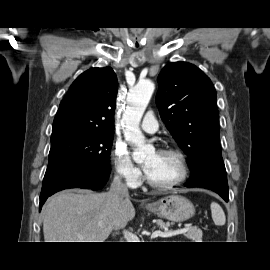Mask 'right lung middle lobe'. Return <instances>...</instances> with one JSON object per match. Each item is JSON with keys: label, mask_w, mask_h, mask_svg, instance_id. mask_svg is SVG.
Returning <instances> with one entry per match:
<instances>
[{"label": "right lung middle lobe", "mask_w": 270, "mask_h": 270, "mask_svg": "<svg viewBox=\"0 0 270 270\" xmlns=\"http://www.w3.org/2000/svg\"><path fill=\"white\" fill-rule=\"evenodd\" d=\"M114 131L59 128L52 130L49 163L51 172L72 162L91 171L110 172V149Z\"/></svg>", "instance_id": "dd1d6c3e"}]
</instances>
